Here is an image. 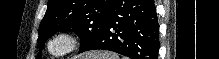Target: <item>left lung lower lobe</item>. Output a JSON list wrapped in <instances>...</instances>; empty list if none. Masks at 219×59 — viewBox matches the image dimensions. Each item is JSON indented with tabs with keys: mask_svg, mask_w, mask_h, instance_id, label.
<instances>
[{
	"mask_svg": "<svg viewBox=\"0 0 219 59\" xmlns=\"http://www.w3.org/2000/svg\"><path fill=\"white\" fill-rule=\"evenodd\" d=\"M159 25L153 0H114L99 34L80 53L109 50L130 59H157Z\"/></svg>",
	"mask_w": 219,
	"mask_h": 59,
	"instance_id": "1",
	"label": "left lung lower lobe"
}]
</instances>
